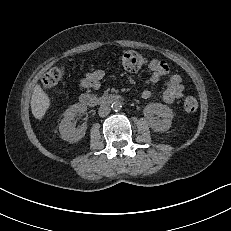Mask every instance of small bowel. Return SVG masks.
I'll return each mask as SVG.
<instances>
[{
  "mask_svg": "<svg viewBox=\"0 0 231 231\" xmlns=\"http://www.w3.org/2000/svg\"><path fill=\"white\" fill-rule=\"evenodd\" d=\"M149 69L151 71L150 81L153 84H157L162 80L166 81V88L162 92V100L165 103H172L183 97L184 88L182 78L177 73H170L169 66L166 62L154 59L149 63ZM103 77L104 71L102 70L97 69L88 72L80 80V87L85 90H98ZM141 96L143 99H150L152 92L150 90H144Z\"/></svg>",
  "mask_w": 231,
  "mask_h": 231,
  "instance_id": "1",
  "label": "small bowel"
}]
</instances>
